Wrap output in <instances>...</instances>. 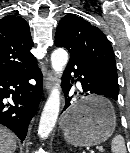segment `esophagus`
Returning <instances> with one entry per match:
<instances>
[{"label": "esophagus", "instance_id": "obj_1", "mask_svg": "<svg viewBox=\"0 0 130 153\" xmlns=\"http://www.w3.org/2000/svg\"><path fill=\"white\" fill-rule=\"evenodd\" d=\"M54 76L52 72L47 73L46 81H45V88L47 91H49L53 85Z\"/></svg>", "mask_w": 130, "mask_h": 153}]
</instances>
